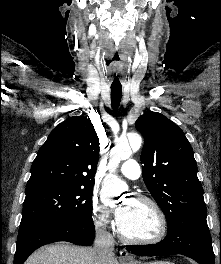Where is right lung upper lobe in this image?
Segmentation results:
<instances>
[{"label": "right lung upper lobe", "instance_id": "cb5924a9", "mask_svg": "<svg viewBox=\"0 0 221 264\" xmlns=\"http://www.w3.org/2000/svg\"><path fill=\"white\" fill-rule=\"evenodd\" d=\"M99 139L91 121L72 117L48 136L32 163L26 190L49 184L93 186Z\"/></svg>", "mask_w": 221, "mask_h": 264}]
</instances>
